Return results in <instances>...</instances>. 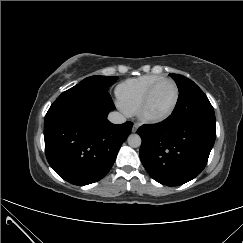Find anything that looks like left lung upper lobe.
Instances as JSON below:
<instances>
[{
  "instance_id": "obj_1",
  "label": "left lung upper lobe",
  "mask_w": 243,
  "mask_h": 243,
  "mask_svg": "<svg viewBox=\"0 0 243 243\" xmlns=\"http://www.w3.org/2000/svg\"><path fill=\"white\" fill-rule=\"evenodd\" d=\"M177 84L179 97L173 115L192 121L215 122L214 109L203 91L190 79L170 74Z\"/></svg>"
}]
</instances>
